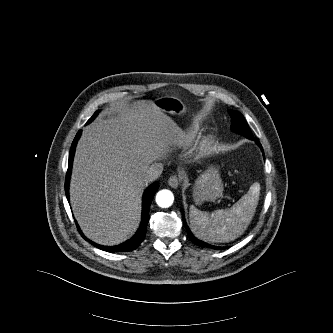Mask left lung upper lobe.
Returning <instances> with one entry per match:
<instances>
[{"instance_id":"left-lung-upper-lobe-1","label":"left lung upper lobe","mask_w":333,"mask_h":333,"mask_svg":"<svg viewBox=\"0 0 333 333\" xmlns=\"http://www.w3.org/2000/svg\"><path fill=\"white\" fill-rule=\"evenodd\" d=\"M228 112L231 116V129L234 132L242 134L249 139L253 138L250 128L246 123L243 115L240 112L234 110H228Z\"/></svg>"}]
</instances>
